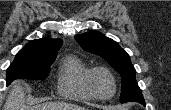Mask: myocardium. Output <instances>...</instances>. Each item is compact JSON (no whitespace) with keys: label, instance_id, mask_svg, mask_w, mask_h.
I'll return each instance as SVG.
<instances>
[{"label":"myocardium","instance_id":"obj_1","mask_svg":"<svg viewBox=\"0 0 171 110\" xmlns=\"http://www.w3.org/2000/svg\"><path fill=\"white\" fill-rule=\"evenodd\" d=\"M99 73H103V74L107 75L110 78V80L112 81L113 92L109 96H106V97L101 96L95 90L94 78ZM87 86H88L92 96L95 99L103 100V101L113 98L115 96V94H116V91H117V81H116V78H115L114 74L108 68L103 67V66L95 67V68L90 69V71H89V73L87 75Z\"/></svg>","mask_w":171,"mask_h":110}]
</instances>
